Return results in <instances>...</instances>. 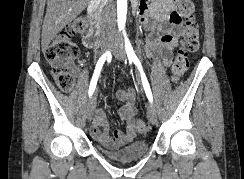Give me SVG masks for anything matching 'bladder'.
I'll return each mask as SVG.
<instances>
[{
	"label": "bladder",
	"mask_w": 244,
	"mask_h": 179,
	"mask_svg": "<svg viewBox=\"0 0 244 179\" xmlns=\"http://www.w3.org/2000/svg\"><path fill=\"white\" fill-rule=\"evenodd\" d=\"M149 149L148 141L143 139L137 142H132L129 145H126L115 151H108L100 147V151L103 155L108 156L111 159L115 160H131L137 159L144 156Z\"/></svg>",
	"instance_id": "bladder-1"
}]
</instances>
